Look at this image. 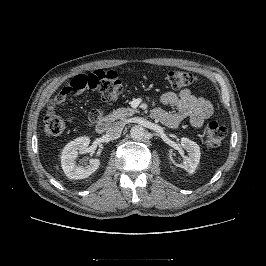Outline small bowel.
<instances>
[{
    "mask_svg": "<svg viewBox=\"0 0 266 266\" xmlns=\"http://www.w3.org/2000/svg\"><path fill=\"white\" fill-rule=\"evenodd\" d=\"M75 92L77 91H72L70 94ZM161 102L163 105L173 106L177 109L176 113H168L162 109H158L164 114V117L160 121L169 128L178 127L186 119L189 120L193 127L199 128L213 114L211 102L204 97L196 96L188 88L183 89L178 94L174 92L164 93L161 97ZM94 111L95 109L89 113L90 120L96 118L92 116Z\"/></svg>",
    "mask_w": 266,
    "mask_h": 266,
    "instance_id": "small-bowel-1",
    "label": "small bowel"
}]
</instances>
